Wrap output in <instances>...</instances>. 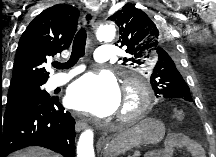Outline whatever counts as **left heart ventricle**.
<instances>
[{
	"label": "left heart ventricle",
	"mask_w": 216,
	"mask_h": 157,
	"mask_svg": "<svg viewBox=\"0 0 216 157\" xmlns=\"http://www.w3.org/2000/svg\"><path fill=\"white\" fill-rule=\"evenodd\" d=\"M131 106H132V101L124 99L123 103L120 105V111L124 109H129Z\"/></svg>",
	"instance_id": "left-heart-ventricle-1"
}]
</instances>
